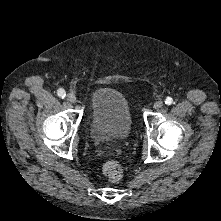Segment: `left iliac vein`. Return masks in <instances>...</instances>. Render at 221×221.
Here are the masks:
<instances>
[{
  "instance_id": "1",
  "label": "left iliac vein",
  "mask_w": 221,
  "mask_h": 221,
  "mask_svg": "<svg viewBox=\"0 0 221 221\" xmlns=\"http://www.w3.org/2000/svg\"><path fill=\"white\" fill-rule=\"evenodd\" d=\"M164 105V102L162 100H158L154 103V108L159 109Z\"/></svg>"
}]
</instances>
